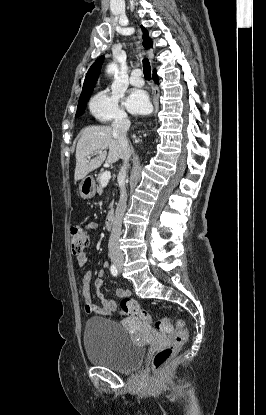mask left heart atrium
<instances>
[{
    "label": "left heart atrium",
    "mask_w": 266,
    "mask_h": 415,
    "mask_svg": "<svg viewBox=\"0 0 266 415\" xmlns=\"http://www.w3.org/2000/svg\"><path fill=\"white\" fill-rule=\"evenodd\" d=\"M126 107L133 113H142L148 110L149 100L142 90H134L126 100Z\"/></svg>",
    "instance_id": "1"
}]
</instances>
